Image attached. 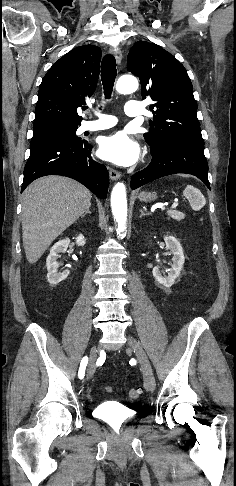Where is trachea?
Here are the masks:
<instances>
[{
	"instance_id": "1",
	"label": "trachea",
	"mask_w": 236,
	"mask_h": 486,
	"mask_svg": "<svg viewBox=\"0 0 236 486\" xmlns=\"http://www.w3.org/2000/svg\"><path fill=\"white\" fill-rule=\"evenodd\" d=\"M116 75L117 69L115 57L111 54H107L103 57L101 63V79L106 99L111 98ZM85 109H87V107H85Z\"/></svg>"
}]
</instances>
